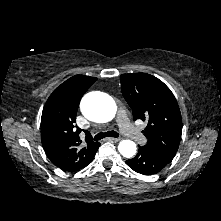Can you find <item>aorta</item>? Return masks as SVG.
Masks as SVG:
<instances>
[{"label": "aorta", "instance_id": "obj_1", "mask_svg": "<svg viewBox=\"0 0 221 221\" xmlns=\"http://www.w3.org/2000/svg\"><path fill=\"white\" fill-rule=\"evenodd\" d=\"M116 110L114 100L103 93H89L81 101L82 114L92 121L108 122L113 119ZM118 150L122 156L131 158L136 154V144L131 140H122Z\"/></svg>", "mask_w": 221, "mask_h": 221}]
</instances>
